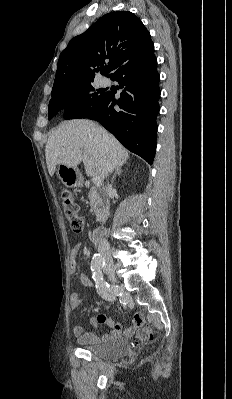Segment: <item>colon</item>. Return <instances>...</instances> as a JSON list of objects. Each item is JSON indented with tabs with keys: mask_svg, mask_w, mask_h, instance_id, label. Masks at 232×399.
I'll use <instances>...</instances> for the list:
<instances>
[{
	"mask_svg": "<svg viewBox=\"0 0 232 399\" xmlns=\"http://www.w3.org/2000/svg\"><path fill=\"white\" fill-rule=\"evenodd\" d=\"M61 199L63 203V212L65 213V219L71 220V222H69L71 232H84L82 222H79V218H76V213H79V208H76V198H73V191H70L69 186H62ZM84 237H89V232H84ZM151 332L152 327L146 326L145 330H135L134 335L135 337H137L138 341H149Z\"/></svg>",
	"mask_w": 232,
	"mask_h": 399,
	"instance_id": "1",
	"label": "colon"
}]
</instances>
